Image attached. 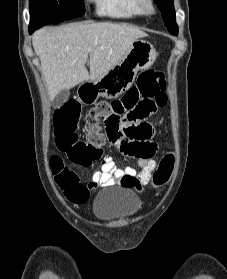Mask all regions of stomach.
Returning <instances> with one entry per match:
<instances>
[{"instance_id":"1","label":"stomach","mask_w":227,"mask_h":279,"mask_svg":"<svg viewBox=\"0 0 227 279\" xmlns=\"http://www.w3.org/2000/svg\"><path fill=\"white\" fill-rule=\"evenodd\" d=\"M157 53L153 45L139 38L135 40L122 59L101 77L84 81L78 88V97L84 104H94L100 96L117 98L133 84L139 70L150 67Z\"/></svg>"}]
</instances>
